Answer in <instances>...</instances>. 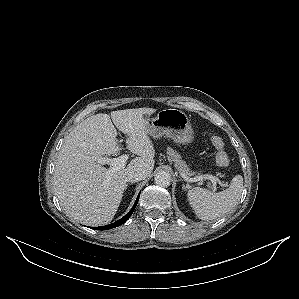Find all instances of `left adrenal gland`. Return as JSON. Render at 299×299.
I'll return each mask as SVG.
<instances>
[{
  "mask_svg": "<svg viewBox=\"0 0 299 299\" xmlns=\"http://www.w3.org/2000/svg\"><path fill=\"white\" fill-rule=\"evenodd\" d=\"M182 188H183L184 190H186V186H185L184 184L182 185Z\"/></svg>",
  "mask_w": 299,
  "mask_h": 299,
  "instance_id": "1",
  "label": "left adrenal gland"
}]
</instances>
